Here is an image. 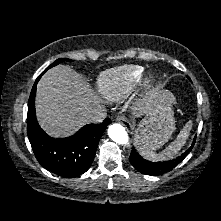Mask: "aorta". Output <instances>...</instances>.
I'll use <instances>...</instances> for the list:
<instances>
[{
  "label": "aorta",
  "instance_id": "1",
  "mask_svg": "<svg viewBox=\"0 0 221 221\" xmlns=\"http://www.w3.org/2000/svg\"><path fill=\"white\" fill-rule=\"evenodd\" d=\"M108 135L111 138V140H113L116 143L122 145L128 144L129 141L128 134L125 128L121 124L114 123L110 125L108 128Z\"/></svg>",
  "mask_w": 221,
  "mask_h": 221
}]
</instances>
